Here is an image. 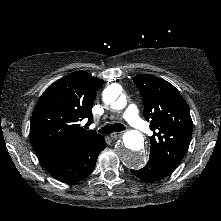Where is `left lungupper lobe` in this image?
<instances>
[{
    "mask_svg": "<svg viewBox=\"0 0 221 221\" xmlns=\"http://www.w3.org/2000/svg\"><path fill=\"white\" fill-rule=\"evenodd\" d=\"M144 102V118L150 121V156L172 172L188 150L193 123L188 105L169 82L149 74L133 78Z\"/></svg>",
    "mask_w": 221,
    "mask_h": 221,
    "instance_id": "5c2ea615",
    "label": "left lung upper lobe"
}]
</instances>
